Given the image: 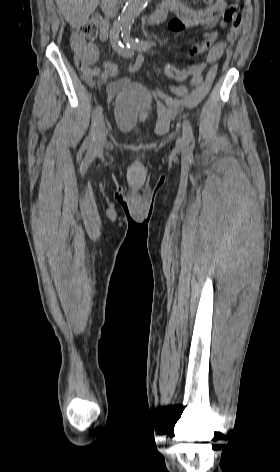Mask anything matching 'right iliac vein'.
I'll list each match as a JSON object with an SVG mask.
<instances>
[{
	"instance_id": "63e3f726",
	"label": "right iliac vein",
	"mask_w": 280,
	"mask_h": 472,
	"mask_svg": "<svg viewBox=\"0 0 280 472\" xmlns=\"http://www.w3.org/2000/svg\"><path fill=\"white\" fill-rule=\"evenodd\" d=\"M105 142H106V127H105L104 119L101 117L95 130V140H94V147H93L94 153H99L103 149Z\"/></svg>"
}]
</instances>
